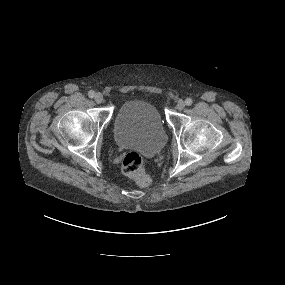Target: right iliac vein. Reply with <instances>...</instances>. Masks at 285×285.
Returning a JSON list of instances; mask_svg holds the SVG:
<instances>
[{"label": "right iliac vein", "instance_id": "63e3f726", "mask_svg": "<svg viewBox=\"0 0 285 285\" xmlns=\"http://www.w3.org/2000/svg\"><path fill=\"white\" fill-rule=\"evenodd\" d=\"M94 99H95V102H96L97 104H100V103L103 102V95H102L101 93H97V94L95 95Z\"/></svg>", "mask_w": 285, "mask_h": 285}]
</instances>
